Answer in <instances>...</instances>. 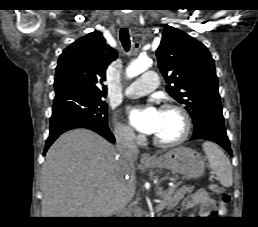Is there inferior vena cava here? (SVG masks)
<instances>
[{"label": "inferior vena cava", "mask_w": 258, "mask_h": 227, "mask_svg": "<svg viewBox=\"0 0 258 227\" xmlns=\"http://www.w3.org/2000/svg\"><path fill=\"white\" fill-rule=\"evenodd\" d=\"M115 137L117 152L120 156L119 164L124 167H132L139 154L133 132L128 129H121L116 132Z\"/></svg>", "instance_id": "inferior-vena-cava-1"}]
</instances>
